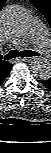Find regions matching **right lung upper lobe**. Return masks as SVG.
I'll return each instance as SVG.
<instances>
[{"mask_svg": "<svg viewBox=\"0 0 51 153\" xmlns=\"http://www.w3.org/2000/svg\"><path fill=\"white\" fill-rule=\"evenodd\" d=\"M6 1L7 0H0V10L2 9ZM9 67H10V63L2 60L0 55V85L2 84L3 78L7 75Z\"/></svg>", "mask_w": 51, "mask_h": 153, "instance_id": "1", "label": "right lung upper lobe"}]
</instances>
